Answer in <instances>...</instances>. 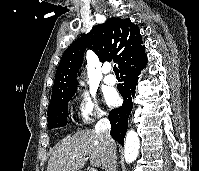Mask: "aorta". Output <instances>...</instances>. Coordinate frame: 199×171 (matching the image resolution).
Returning a JSON list of instances; mask_svg holds the SVG:
<instances>
[{"mask_svg": "<svg viewBox=\"0 0 199 171\" xmlns=\"http://www.w3.org/2000/svg\"><path fill=\"white\" fill-rule=\"evenodd\" d=\"M140 147V141L137 133L134 130L127 132L125 138L124 157L127 163L133 162L137 156Z\"/></svg>", "mask_w": 199, "mask_h": 171, "instance_id": "1", "label": "aorta"}]
</instances>
